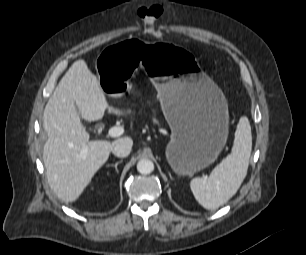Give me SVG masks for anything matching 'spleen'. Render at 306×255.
Instances as JSON below:
<instances>
[{
	"label": "spleen",
	"instance_id": "obj_1",
	"mask_svg": "<svg viewBox=\"0 0 306 255\" xmlns=\"http://www.w3.org/2000/svg\"><path fill=\"white\" fill-rule=\"evenodd\" d=\"M252 150L249 120L242 116L237 124L231 153L211 172L208 178H194L190 187L200 205L214 210L225 204L240 188L246 177Z\"/></svg>",
	"mask_w": 306,
	"mask_h": 255
}]
</instances>
